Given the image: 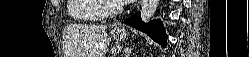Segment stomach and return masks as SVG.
<instances>
[{"mask_svg":"<svg viewBox=\"0 0 249 57\" xmlns=\"http://www.w3.org/2000/svg\"><path fill=\"white\" fill-rule=\"evenodd\" d=\"M111 36L117 42L124 41L127 37V31L124 28H113Z\"/></svg>","mask_w":249,"mask_h":57,"instance_id":"1","label":"stomach"}]
</instances>
